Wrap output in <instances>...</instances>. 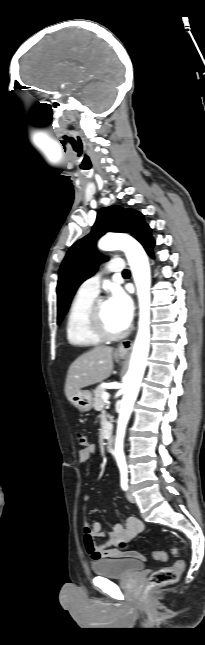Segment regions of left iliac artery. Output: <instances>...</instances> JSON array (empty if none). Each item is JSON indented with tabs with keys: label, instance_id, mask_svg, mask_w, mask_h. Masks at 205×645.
<instances>
[{
	"label": "left iliac artery",
	"instance_id": "obj_1",
	"mask_svg": "<svg viewBox=\"0 0 205 645\" xmlns=\"http://www.w3.org/2000/svg\"><path fill=\"white\" fill-rule=\"evenodd\" d=\"M120 468V473H121V487L123 490H127L128 488V470L127 466L125 464H122L119 466Z\"/></svg>",
	"mask_w": 205,
	"mask_h": 645
}]
</instances>
